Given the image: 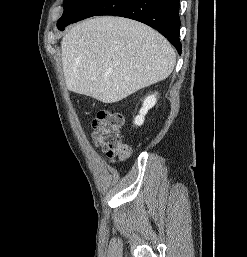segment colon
Instances as JSON below:
<instances>
[{
  "label": "colon",
  "mask_w": 247,
  "mask_h": 257,
  "mask_svg": "<svg viewBox=\"0 0 247 257\" xmlns=\"http://www.w3.org/2000/svg\"><path fill=\"white\" fill-rule=\"evenodd\" d=\"M123 125L121 114L100 110L92 121V139L94 144L110 158H127L130 148L120 138Z\"/></svg>",
  "instance_id": "1"
}]
</instances>
